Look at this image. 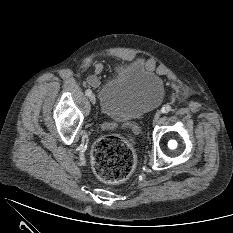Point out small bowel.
<instances>
[{"label":"small bowel","instance_id":"c3829d8e","mask_svg":"<svg viewBox=\"0 0 233 233\" xmlns=\"http://www.w3.org/2000/svg\"><path fill=\"white\" fill-rule=\"evenodd\" d=\"M95 70L97 73H100L102 71V65L98 63L95 67ZM87 82L89 85L96 87L99 83V78L97 75H92L88 78Z\"/></svg>","mask_w":233,"mask_h":233}]
</instances>
